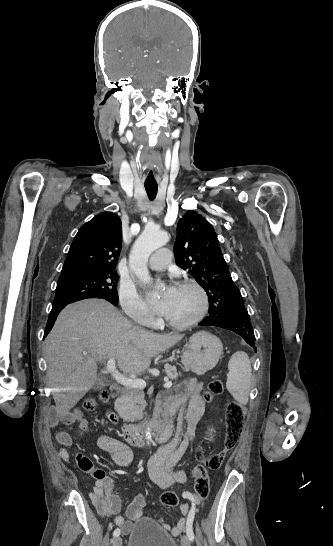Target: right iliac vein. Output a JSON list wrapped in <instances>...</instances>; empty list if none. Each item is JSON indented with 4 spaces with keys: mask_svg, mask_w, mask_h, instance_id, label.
Returning a JSON list of instances; mask_svg holds the SVG:
<instances>
[{
    "mask_svg": "<svg viewBox=\"0 0 333 546\" xmlns=\"http://www.w3.org/2000/svg\"><path fill=\"white\" fill-rule=\"evenodd\" d=\"M112 546H122V539H121V537H116V538L112 541Z\"/></svg>",
    "mask_w": 333,
    "mask_h": 546,
    "instance_id": "63e3f726",
    "label": "right iliac vein"
}]
</instances>
